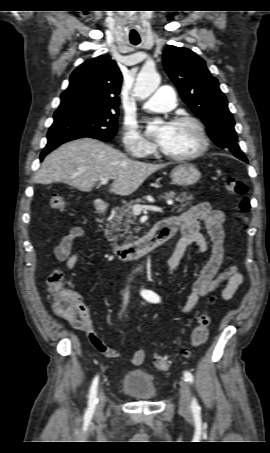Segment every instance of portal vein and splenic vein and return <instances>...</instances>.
Instances as JSON below:
<instances>
[{
  "mask_svg": "<svg viewBox=\"0 0 270 453\" xmlns=\"http://www.w3.org/2000/svg\"><path fill=\"white\" fill-rule=\"evenodd\" d=\"M109 178H102L100 180V184L105 185L107 184ZM167 204L172 205L173 201L169 200L167 201ZM133 213L135 215H139L143 210H150V211H157V212H162V208L158 206H151V205H140V204H135L133 206Z\"/></svg>",
  "mask_w": 270,
  "mask_h": 453,
  "instance_id": "1",
  "label": "portal vein and splenic vein"
}]
</instances>
